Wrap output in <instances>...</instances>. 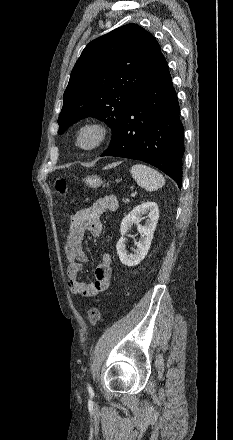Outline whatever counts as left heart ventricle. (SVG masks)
Returning <instances> with one entry per match:
<instances>
[{"instance_id":"obj_1","label":"left heart ventricle","mask_w":233,"mask_h":440,"mask_svg":"<svg viewBox=\"0 0 233 440\" xmlns=\"http://www.w3.org/2000/svg\"><path fill=\"white\" fill-rule=\"evenodd\" d=\"M95 133L94 132H92V131H87V132H85L83 135H82V137H81V142H82V144H84V145H89V144H91V143H93L94 142V140H95Z\"/></svg>"}]
</instances>
